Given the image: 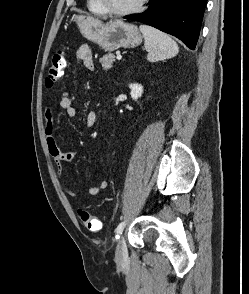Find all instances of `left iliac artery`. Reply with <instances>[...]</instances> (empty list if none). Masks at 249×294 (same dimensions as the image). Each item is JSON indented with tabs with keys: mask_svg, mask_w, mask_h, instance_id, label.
Masks as SVG:
<instances>
[{
	"mask_svg": "<svg viewBox=\"0 0 249 294\" xmlns=\"http://www.w3.org/2000/svg\"><path fill=\"white\" fill-rule=\"evenodd\" d=\"M125 221L124 222H121L118 226H117V228H116V239H119V237H120V234L122 233V231H123V229H124V227H125Z\"/></svg>",
	"mask_w": 249,
	"mask_h": 294,
	"instance_id": "left-iliac-artery-1",
	"label": "left iliac artery"
}]
</instances>
